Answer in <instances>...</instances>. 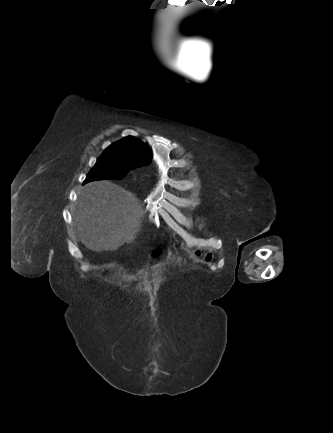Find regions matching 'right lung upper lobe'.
Wrapping results in <instances>:
<instances>
[{"label":"right lung upper lobe","mask_w":333,"mask_h":433,"mask_svg":"<svg viewBox=\"0 0 333 433\" xmlns=\"http://www.w3.org/2000/svg\"><path fill=\"white\" fill-rule=\"evenodd\" d=\"M104 153L112 156L131 157L142 165L149 164L152 159L148 147L131 136L111 144Z\"/></svg>","instance_id":"right-lung-upper-lobe-1"}]
</instances>
